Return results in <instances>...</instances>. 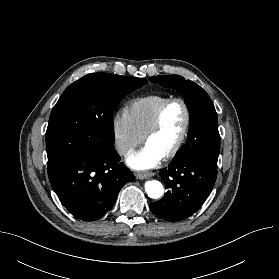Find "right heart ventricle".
<instances>
[{
  "label": "right heart ventricle",
  "mask_w": 279,
  "mask_h": 279,
  "mask_svg": "<svg viewBox=\"0 0 279 279\" xmlns=\"http://www.w3.org/2000/svg\"><path fill=\"white\" fill-rule=\"evenodd\" d=\"M169 98L160 94L138 97L128 103L124 112L135 130L143 136L158 108Z\"/></svg>",
  "instance_id": "e07e8e85"
}]
</instances>
